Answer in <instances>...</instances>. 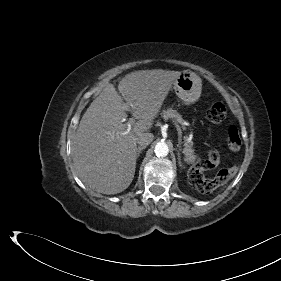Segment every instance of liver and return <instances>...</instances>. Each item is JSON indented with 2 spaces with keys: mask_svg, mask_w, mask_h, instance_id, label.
Returning a JSON list of instances; mask_svg holds the SVG:
<instances>
[{
  "mask_svg": "<svg viewBox=\"0 0 281 281\" xmlns=\"http://www.w3.org/2000/svg\"><path fill=\"white\" fill-rule=\"evenodd\" d=\"M180 74L163 69L131 72L119 82L121 96L109 84L93 100L81 118L71 147L77 175L91 189L109 195L128 188L135 174L137 137L151 129ZM126 111L138 121L129 134L123 135Z\"/></svg>",
  "mask_w": 281,
  "mask_h": 281,
  "instance_id": "obj_1",
  "label": "liver"
}]
</instances>
